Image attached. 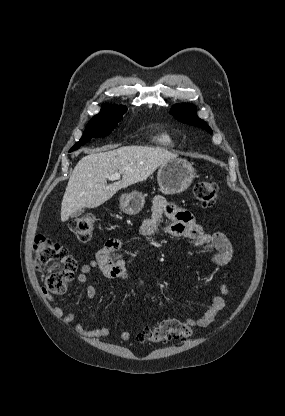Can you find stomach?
<instances>
[{"label":"stomach","instance_id":"0dacf381","mask_svg":"<svg viewBox=\"0 0 285 416\" xmlns=\"http://www.w3.org/2000/svg\"><path fill=\"white\" fill-rule=\"evenodd\" d=\"M194 178L196 170L192 164L182 158H174L162 164L158 170L157 182L163 194H180L189 188ZM145 204V196L139 192L122 194L120 198V208L124 214L135 216L141 212Z\"/></svg>","mask_w":285,"mask_h":416}]
</instances>
